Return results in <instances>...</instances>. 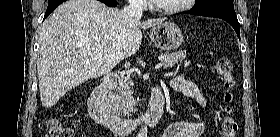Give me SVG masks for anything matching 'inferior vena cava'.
Returning <instances> with one entry per match:
<instances>
[{"instance_id": "inferior-vena-cava-1", "label": "inferior vena cava", "mask_w": 280, "mask_h": 137, "mask_svg": "<svg viewBox=\"0 0 280 137\" xmlns=\"http://www.w3.org/2000/svg\"><path fill=\"white\" fill-rule=\"evenodd\" d=\"M123 12L132 19H140L143 13L142 0H130L129 5L124 7Z\"/></svg>"}]
</instances>
